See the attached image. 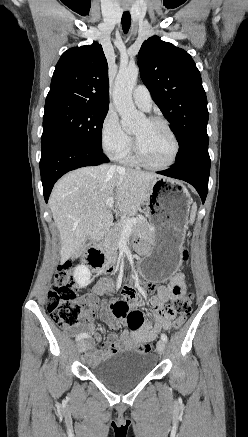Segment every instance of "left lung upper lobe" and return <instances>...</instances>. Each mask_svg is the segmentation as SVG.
I'll list each match as a JSON object with an SVG mask.
<instances>
[{
  "mask_svg": "<svg viewBox=\"0 0 248 437\" xmlns=\"http://www.w3.org/2000/svg\"><path fill=\"white\" fill-rule=\"evenodd\" d=\"M137 63L143 83L178 140V159L208 136L209 113L200 72L185 50L157 36L143 42Z\"/></svg>",
  "mask_w": 248,
  "mask_h": 437,
  "instance_id": "1",
  "label": "left lung upper lobe"
}]
</instances>
